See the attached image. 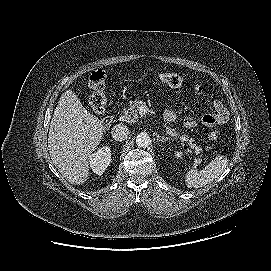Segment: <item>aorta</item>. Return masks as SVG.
Returning a JSON list of instances; mask_svg holds the SVG:
<instances>
[{"mask_svg":"<svg viewBox=\"0 0 271 271\" xmlns=\"http://www.w3.org/2000/svg\"><path fill=\"white\" fill-rule=\"evenodd\" d=\"M151 139L147 133H140L136 137V144L140 148H146L150 145Z\"/></svg>","mask_w":271,"mask_h":271,"instance_id":"obj_1","label":"aorta"}]
</instances>
